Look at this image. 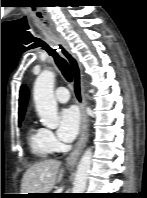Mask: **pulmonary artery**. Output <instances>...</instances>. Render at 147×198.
<instances>
[{"mask_svg": "<svg viewBox=\"0 0 147 198\" xmlns=\"http://www.w3.org/2000/svg\"><path fill=\"white\" fill-rule=\"evenodd\" d=\"M54 95L55 99L60 103H66L70 98L69 91L65 87H58Z\"/></svg>", "mask_w": 147, "mask_h": 198, "instance_id": "pulmonary-artery-1", "label": "pulmonary artery"}]
</instances>
